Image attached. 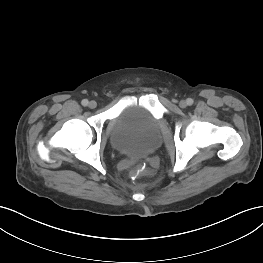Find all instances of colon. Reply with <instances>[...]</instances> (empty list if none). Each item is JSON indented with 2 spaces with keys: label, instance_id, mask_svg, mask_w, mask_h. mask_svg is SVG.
Instances as JSON below:
<instances>
[{
  "label": "colon",
  "instance_id": "obj_1",
  "mask_svg": "<svg viewBox=\"0 0 263 263\" xmlns=\"http://www.w3.org/2000/svg\"><path fill=\"white\" fill-rule=\"evenodd\" d=\"M132 174L138 177H142L147 175L148 171L143 165H138L133 169Z\"/></svg>",
  "mask_w": 263,
  "mask_h": 263
}]
</instances>
